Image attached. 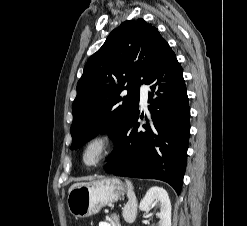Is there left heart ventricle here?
<instances>
[{"label": "left heart ventricle", "mask_w": 247, "mask_h": 226, "mask_svg": "<svg viewBox=\"0 0 247 226\" xmlns=\"http://www.w3.org/2000/svg\"><path fill=\"white\" fill-rule=\"evenodd\" d=\"M97 154V150L95 148H92L89 150V152L87 153V159L90 161L92 159H94V157Z\"/></svg>", "instance_id": "left-heart-ventricle-1"}]
</instances>
